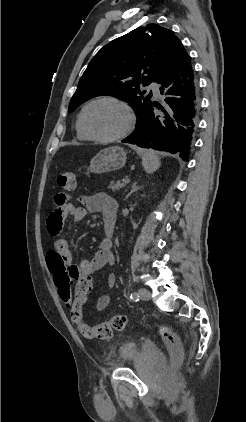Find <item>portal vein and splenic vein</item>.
Segmentation results:
<instances>
[{
    "mask_svg": "<svg viewBox=\"0 0 246 422\" xmlns=\"http://www.w3.org/2000/svg\"><path fill=\"white\" fill-rule=\"evenodd\" d=\"M129 183H130V179H126V180L124 181V185L129 184Z\"/></svg>",
    "mask_w": 246,
    "mask_h": 422,
    "instance_id": "18ae733b",
    "label": "portal vein and splenic vein"
}]
</instances>
